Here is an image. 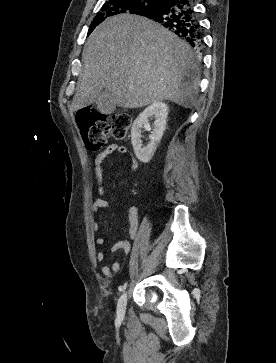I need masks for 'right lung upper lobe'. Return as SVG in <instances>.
<instances>
[{
  "instance_id": "obj_1",
  "label": "right lung upper lobe",
  "mask_w": 276,
  "mask_h": 363,
  "mask_svg": "<svg viewBox=\"0 0 276 363\" xmlns=\"http://www.w3.org/2000/svg\"><path fill=\"white\" fill-rule=\"evenodd\" d=\"M154 1H157V2H159L160 0H154Z\"/></svg>"
}]
</instances>
